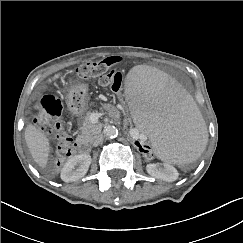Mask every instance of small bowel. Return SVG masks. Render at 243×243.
Returning <instances> with one entry per match:
<instances>
[{
    "label": "small bowel",
    "mask_w": 243,
    "mask_h": 243,
    "mask_svg": "<svg viewBox=\"0 0 243 243\" xmlns=\"http://www.w3.org/2000/svg\"><path fill=\"white\" fill-rule=\"evenodd\" d=\"M108 109H111V106L110 105L108 106Z\"/></svg>",
    "instance_id": "small-bowel-1"
}]
</instances>
